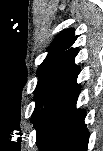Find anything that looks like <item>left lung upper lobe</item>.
Wrapping results in <instances>:
<instances>
[{"label": "left lung upper lobe", "instance_id": "left-lung-upper-lobe-1", "mask_svg": "<svg viewBox=\"0 0 103 151\" xmlns=\"http://www.w3.org/2000/svg\"><path fill=\"white\" fill-rule=\"evenodd\" d=\"M77 36L72 28H69L61 32L53 41L51 46L48 48V54L42 64L39 66L37 73L43 70L51 61H53L60 54L70 48L76 41Z\"/></svg>", "mask_w": 103, "mask_h": 151}]
</instances>
